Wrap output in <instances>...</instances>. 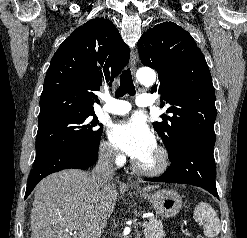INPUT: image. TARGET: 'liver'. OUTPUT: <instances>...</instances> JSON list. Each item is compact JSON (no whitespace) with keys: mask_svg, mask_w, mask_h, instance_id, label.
<instances>
[{"mask_svg":"<svg viewBox=\"0 0 247 238\" xmlns=\"http://www.w3.org/2000/svg\"><path fill=\"white\" fill-rule=\"evenodd\" d=\"M157 186L149 185L145 190ZM117 189L100 186L82 170L51 174L35 188L31 213V238H99L114 211Z\"/></svg>","mask_w":247,"mask_h":238,"instance_id":"1","label":"liver"}]
</instances>
